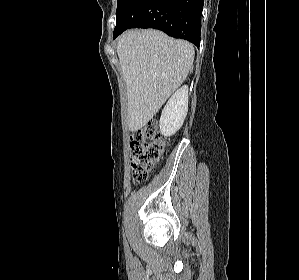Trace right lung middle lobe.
<instances>
[{"instance_id":"1","label":"right lung middle lobe","mask_w":299,"mask_h":280,"mask_svg":"<svg viewBox=\"0 0 299 280\" xmlns=\"http://www.w3.org/2000/svg\"><path fill=\"white\" fill-rule=\"evenodd\" d=\"M123 1L124 0H117V12H118V10H119V8H120Z\"/></svg>"}]
</instances>
